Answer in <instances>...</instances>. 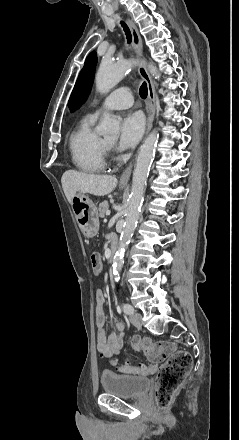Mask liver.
Returning <instances> with one entry per match:
<instances>
[{
	"label": "liver",
	"instance_id": "liver-1",
	"mask_svg": "<svg viewBox=\"0 0 239 440\" xmlns=\"http://www.w3.org/2000/svg\"><path fill=\"white\" fill-rule=\"evenodd\" d=\"M63 192L72 204L77 192H87L93 196H107L115 190L118 180L115 176H99V174H83L76 170H67L61 178Z\"/></svg>",
	"mask_w": 239,
	"mask_h": 440
}]
</instances>
